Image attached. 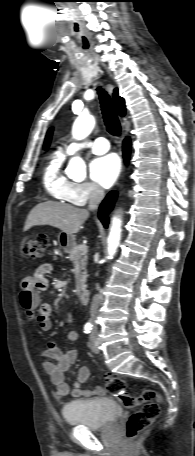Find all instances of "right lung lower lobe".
Returning <instances> with one entry per match:
<instances>
[{
    "label": "right lung lower lobe",
    "instance_id": "98d812e1",
    "mask_svg": "<svg viewBox=\"0 0 195 456\" xmlns=\"http://www.w3.org/2000/svg\"><path fill=\"white\" fill-rule=\"evenodd\" d=\"M123 154H124V159L127 161L129 158L130 154V139L127 137L124 140V145H123ZM117 193L116 192H110L106 198L104 199L103 203L101 204L99 208V219L103 223L105 227L108 226L109 219L107 217L108 213L112 210L113 204L115 201Z\"/></svg>",
    "mask_w": 195,
    "mask_h": 456
}]
</instances>
